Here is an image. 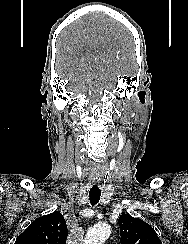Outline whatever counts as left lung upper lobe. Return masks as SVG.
<instances>
[{
	"label": "left lung upper lobe",
	"mask_w": 188,
	"mask_h": 244,
	"mask_svg": "<svg viewBox=\"0 0 188 244\" xmlns=\"http://www.w3.org/2000/svg\"><path fill=\"white\" fill-rule=\"evenodd\" d=\"M118 223L122 244H162L155 230L139 218L122 214Z\"/></svg>",
	"instance_id": "1"
}]
</instances>
